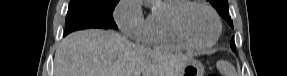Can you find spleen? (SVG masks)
I'll return each instance as SVG.
<instances>
[{
  "label": "spleen",
  "mask_w": 287,
  "mask_h": 76,
  "mask_svg": "<svg viewBox=\"0 0 287 76\" xmlns=\"http://www.w3.org/2000/svg\"><path fill=\"white\" fill-rule=\"evenodd\" d=\"M217 69L224 76H236L234 67L227 61H218Z\"/></svg>",
  "instance_id": "1"
}]
</instances>
